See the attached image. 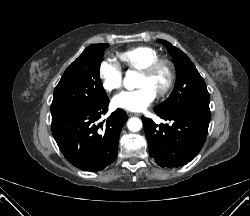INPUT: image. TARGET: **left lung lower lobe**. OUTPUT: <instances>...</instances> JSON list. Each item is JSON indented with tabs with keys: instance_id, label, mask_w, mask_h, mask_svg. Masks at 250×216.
I'll return each instance as SVG.
<instances>
[{
	"instance_id": "left-lung-lower-lobe-1",
	"label": "left lung lower lobe",
	"mask_w": 250,
	"mask_h": 216,
	"mask_svg": "<svg viewBox=\"0 0 250 216\" xmlns=\"http://www.w3.org/2000/svg\"><path fill=\"white\" fill-rule=\"evenodd\" d=\"M154 112L162 123L142 116L150 156L163 168L192 161L206 142L211 117L196 111L164 113L157 107Z\"/></svg>"
}]
</instances>
